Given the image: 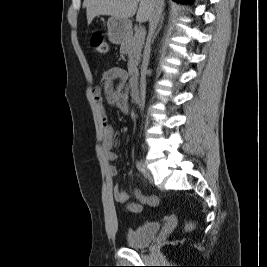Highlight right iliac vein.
Instances as JSON below:
<instances>
[{
  "instance_id": "obj_1",
  "label": "right iliac vein",
  "mask_w": 267,
  "mask_h": 267,
  "mask_svg": "<svg viewBox=\"0 0 267 267\" xmlns=\"http://www.w3.org/2000/svg\"><path fill=\"white\" fill-rule=\"evenodd\" d=\"M145 171H146L147 176H150L149 171L146 168H145Z\"/></svg>"
}]
</instances>
